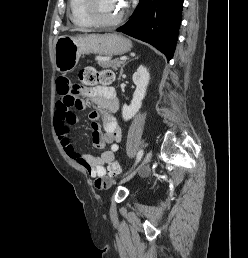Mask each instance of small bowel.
Returning <instances> with one entry per match:
<instances>
[{
    "label": "small bowel",
    "instance_id": "small-bowel-1",
    "mask_svg": "<svg viewBox=\"0 0 248 258\" xmlns=\"http://www.w3.org/2000/svg\"><path fill=\"white\" fill-rule=\"evenodd\" d=\"M57 92L54 127L60 143L66 154L78 165L84 167L92 178H100L95 184L99 190H110L114 181L111 177L104 176L107 168L115 161L122 137L121 128L113 115L119 107L114 89L108 85H97L83 90L80 96H74L70 80L60 78L57 80ZM87 101H91L98 108L89 114L92 122L93 146L103 149L109 145V149L102 152L100 156L78 151L71 138V127L79 121L73 108L85 109ZM97 121L101 122L103 133L99 131Z\"/></svg>",
    "mask_w": 248,
    "mask_h": 258
}]
</instances>
